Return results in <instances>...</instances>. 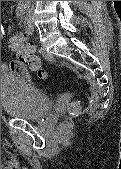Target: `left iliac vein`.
Segmentation results:
<instances>
[{
    "mask_svg": "<svg viewBox=\"0 0 121 169\" xmlns=\"http://www.w3.org/2000/svg\"><path fill=\"white\" fill-rule=\"evenodd\" d=\"M25 26H26V31H27V33H28V34H32L33 31H34V27H33V24H32V21H31L30 18H28V19L26 20Z\"/></svg>",
    "mask_w": 121,
    "mask_h": 169,
    "instance_id": "left-iliac-vein-1",
    "label": "left iliac vein"
}]
</instances>
